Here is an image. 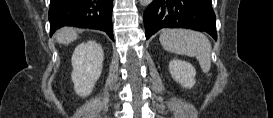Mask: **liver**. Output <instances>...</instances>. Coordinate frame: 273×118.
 Returning a JSON list of instances; mask_svg holds the SVG:
<instances>
[{
    "label": "liver",
    "instance_id": "obj_1",
    "mask_svg": "<svg viewBox=\"0 0 273 118\" xmlns=\"http://www.w3.org/2000/svg\"><path fill=\"white\" fill-rule=\"evenodd\" d=\"M77 39V30L73 28H62L56 33V41L61 44H70Z\"/></svg>",
    "mask_w": 273,
    "mask_h": 118
}]
</instances>
